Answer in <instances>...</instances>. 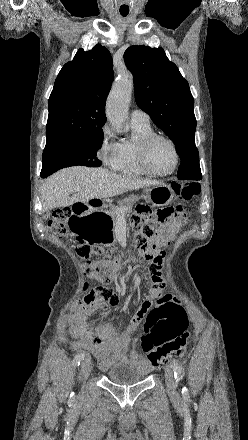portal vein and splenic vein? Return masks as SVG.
<instances>
[{"label":"portal vein and splenic vein","mask_w":248,"mask_h":440,"mask_svg":"<svg viewBox=\"0 0 248 440\" xmlns=\"http://www.w3.org/2000/svg\"><path fill=\"white\" fill-rule=\"evenodd\" d=\"M124 217H125V215L124 214H122V215H120V217H119V219H124Z\"/></svg>","instance_id":"18ae733b"}]
</instances>
